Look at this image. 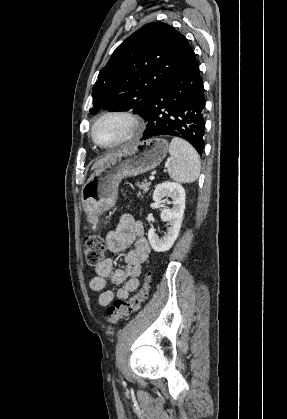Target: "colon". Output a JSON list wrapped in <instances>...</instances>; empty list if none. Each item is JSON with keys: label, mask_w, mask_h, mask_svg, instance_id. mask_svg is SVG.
<instances>
[{"label": "colon", "mask_w": 287, "mask_h": 419, "mask_svg": "<svg viewBox=\"0 0 287 419\" xmlns=\"http://www.w3.org/2000/svg\"><path fill=\"white\" fill-rule=\"evenodd\" d=\"M86 262L90 267H98L106 259V243L100 235H89L84 242ZM149 277L144 286L130 299H117L106 310V321L116 324L138 311L146 300L149 290Z\"/></svg>", "instance_id": "1"}]
</instances>
